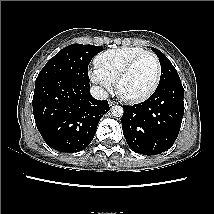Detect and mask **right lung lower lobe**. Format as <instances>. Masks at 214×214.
Here are the masks:
<instances>
[{"label": "right lung lower lobe", "mask_w": 214, "mask_h": 214, "mask_svg": "<svg viewBox=\"0 0 214 214\" xmlns=\"http://www.w3.org/2000/svg\"><path fill=\"white\" fill-rule=\"evenodd\" d=\"M33 113L44 141L60 152H78L93 140L109 104L90 94V84L52 77L35 85Z\"/></svg>", "instance_id": "98d812e1"}]
</instances>
